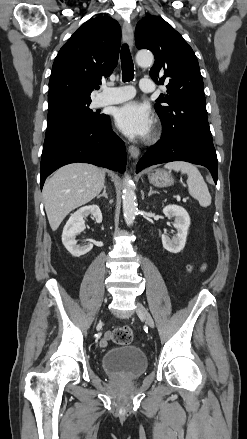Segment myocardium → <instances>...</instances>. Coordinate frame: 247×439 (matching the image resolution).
I'll use <instances>...</instances> for the list:
<instances>
[{
	"label": "myocardium",
	"instance_id": "f54148a6",
	"mask_svg": "<svg viewBox=\"0 0 247 439\" xmlns=\"http://www.w3.org/2000/svg\"><path fill=\"white\" fill-rule=\"evenodd\" d=\"M157 136H158V133H155L153 136V139H156Z\"/></svg>",
	"mask_w": 247,
	"mask_h": 439
}]
</instances>
